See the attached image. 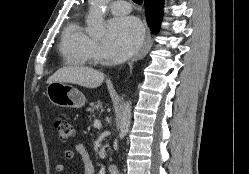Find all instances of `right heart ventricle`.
<instances>
[{"label": "right heart ventricle", "instance_id": "obj_1", "mask_svg": "<svg viewBox=\"0 0 249 174\" xmlns=\"http://www.w3.org/2000/svg\"><path fill=\"white\" fill-rule=\"evenodd\" d=\"M91 38L83 27L80 18L73 19L64 29L60 52L69 65L85 66L91 62L89 45Z\"/></svg>", "mask_w": 249, "mask_h": 174}]
</instances>
